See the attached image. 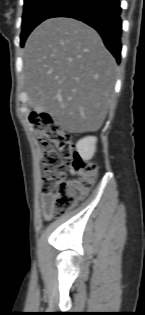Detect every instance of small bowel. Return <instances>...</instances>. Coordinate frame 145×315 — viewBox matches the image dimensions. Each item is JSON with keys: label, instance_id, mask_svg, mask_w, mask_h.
I'll use <instances>...</instances> for the list:
<instances>
[{"label": "small bowel", "instance_id": "1", "mask_svg": "<svg viewBox=\"0 0 145 315\" xmlns=\"http://www.w3.org/2000/svg\"><path fill=\"white\" fill-rule=\"evenodd\" d=\"M51 200L52 196L48 195H42L41 196V206H42V211L43 215L46 219H51L53 217V210L51 206Z\"/></svg>", "mask_w": 145, "mask_h": 315}]
</instances>
